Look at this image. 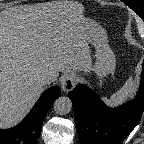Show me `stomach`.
Returning a JSON list of instances; mask_svg holds the SVG:
<instances>
[{"instance_id":"0dacf381","label":"stomach","mask_w":144,"mask_h":144,"mask_svg":"<svg viewBox=\"0 0 144 144\" xmlns=\"http://www.w3.org/2000/svg\"><path fill=\"white\" fill-rule=\"evenodd\" d=\"M86 24L87 41L95 50V62L91 66L99 87L103 85L104 78L112 74L116 67V58L108 44L106 31L95 21L84 17Z\"/></svg>"}]
</instances>
